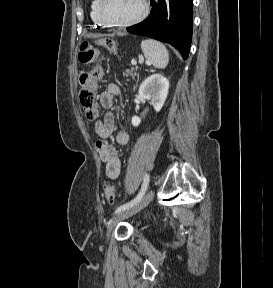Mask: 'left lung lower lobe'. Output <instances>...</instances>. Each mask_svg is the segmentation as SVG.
I'll return each mask as SVG.
<instances>
[{
	"label": "left lung lower lobe",
	"mask_w": 273,
	"mask_h": 288,
	"mask_svg": "<svg viewBox=\"0 0 273 288\" xmlns=\"http://www.w3.org/2000/svg\"><path fill=\"white\" fill-rule=\"evenodd\" d=\"M151 4L149 16L127 31L169 43L186 60L192 39L193 0H151Z\"/></svg>",
	"instance_id": "obj_1"
}]
</instances>
